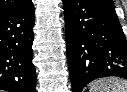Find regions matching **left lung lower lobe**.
I'll list each match as a JSON object with an SVG mask.
<instances>
[{"instance_id":"0a47b994","label":"left lung lower lobe","mask_w":127,"mask_h":92,"mask_svg":"<svg viewBox=\"0 0 127 92\" xmlns=\"http://www.w3.org/2000/svg\"><path fill=\"white\" fill-rule=\"evenodd\" d=\"M73 92L96 78L127 79V42L110 0H63Z\"/></svg>"}]
</instances>
